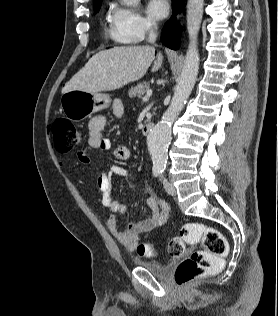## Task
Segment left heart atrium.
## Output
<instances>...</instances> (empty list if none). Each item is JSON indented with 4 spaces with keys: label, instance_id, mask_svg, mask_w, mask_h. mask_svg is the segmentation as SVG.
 Segmentation results:
<instances>
[{
    "label": "left heart atrium",
    "instance_id": "left-heart-atrium-1",
    "mask_svg": "<svg viewBox=\"0 0 278 316\" xmlns=\"http://www.w3.org/2000/svg\"><path fill=\"white\" fill-rule=\"evenodd\" d=\"M148 15L156 20L165 18L169 13L167 0H150L147 4Z\"/></svg>",
    "mask_w": 278,
    "mask_h": 316
}]
</instances>
